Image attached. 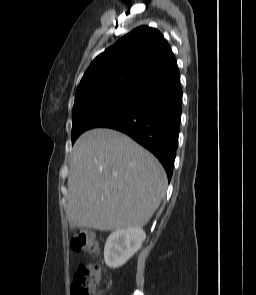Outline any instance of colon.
Here are the masks:
<instances>
[{"instance_id": "obj_1", "label": "colon", "mask_w": 256, "mask_h": 295, "mask_svg": "<svg viewBox=\"0 0 256 295\" xmlns=\"http://www.w3.org/2000/svg\"><path fill=\"white\" fill-rule=\"evenodd\" d=\"M70 246L74 252L97 255L100 246L92 233L76 229L70 239ZM100 282V266L96 263L81 264L74 275L71 291L72 295H98L96 292Z\"/></svg>"}]
</instances>
